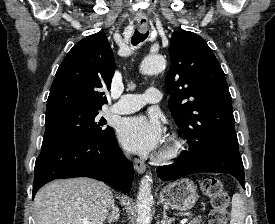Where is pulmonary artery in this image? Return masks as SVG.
I'll return each mask as SVG.
<instances>
[{"mask_svg": "<svg viewBox=\"0 0 275 224\" xmlns=\"http://www.w3.org/2000/svg\"><path fill=\"white\" fill-rule=\"evenodd\" d=\"M162 99V91L159 88L150 87L144 94H126L112 105L113 112L128 114L138 111L148 104L157 103Z\"/></svg>", "mask_w": 275, "mask_h": 224, "instance_id": "1", "label": "pulmonary artery"}]
</instances>
